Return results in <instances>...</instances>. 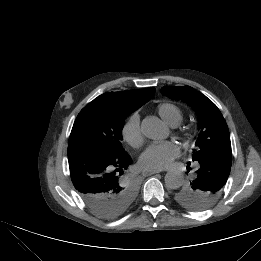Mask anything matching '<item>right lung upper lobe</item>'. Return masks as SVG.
<instances>
[{
	"label": "right lung upper lobe",
	"instance_id": "right-lung-upper-lobe-1",
	"mask_svg": "<svg viewBox=\"0 0 261 261\" xmlns=\"http://www.w3.org/2000/svg\"><path fill=\"white\" fill-rule=\"evenodd\" d=\"M154 93L155 88L151 87L140 90L107 92L100 95L99 98L132 113L147 101H149Z\"/></svg>",
	"mask_w": 261,
	"mask_h": 261
}]
</instances>
